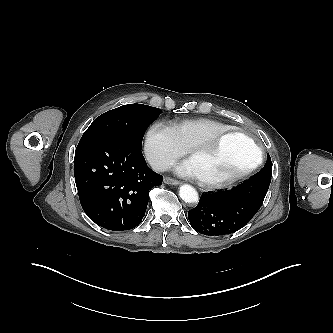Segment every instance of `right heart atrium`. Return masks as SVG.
Returning <instances> with one entry per match:
<instances>
[{
	"label": "right heart atrium",
	"mask_w": 333,
	"mask_h": 333,
	"mask_svg": "<svg viewBox=\"0 0 333 333\" xmlns=\"http://www.w3.org/2000/svg\"><path fill=\"white\" fill-rule=\"evenodd\" d=\"M185 153L171 127L162 122L150 125L145 137V154L156 170H165Z\"/></svg>",
	"instance_id": "1"
}]
</instances>
